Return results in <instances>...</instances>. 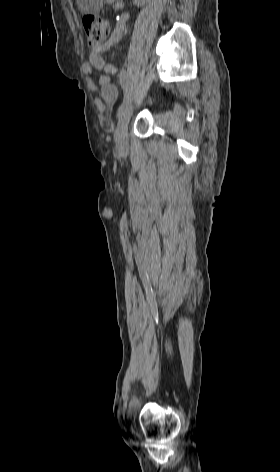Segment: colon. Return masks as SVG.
Listing matches in <instances>:
<instances>
[{"instance_id":"colon-1","label":"colon","mask_w":280,"mask_h":472,"mask_svg":"<svg viewBox=\"0 0 280 472\" xmlns=\"http://www.w3.org/2000/svg\"><path fill=\"white\" fill-rule=\"evenodd\" d=\"M82 24L89 47L97 50L103 46L111 32L110 23L94 15H85Z\"/></svg>"}]
</instances>
